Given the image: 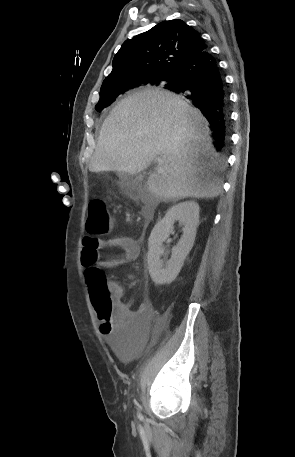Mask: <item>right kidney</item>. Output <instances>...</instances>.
Masks as SVG:
<instances>
[{
    "instance_id": "1",
    "label": "right kidney",
    "mask_w": 295,
    "mask_h": 457,
    "mask_svg": "<svg viewBox=\"0 0 295 457\" xmlns=\"http://www.w3.org/2000/svg\"><path fill=\"white\" fill-rule=\"evenodd\" d=\"M177 221L183 226V235L172 248V256L164 266L160 261L164 252L163 242L169 237ZM198 223L199 205L194 201H185L172 206L164 218L156 223L148 240L147 255L149 273L155 284H169L176 279L193 247Z\"/></svg>"
}]
</instances>
